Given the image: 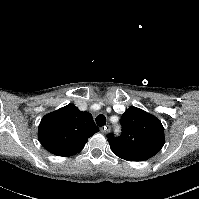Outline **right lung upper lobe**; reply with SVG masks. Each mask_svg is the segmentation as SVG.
<instances>
[{"label":"right lung upper lobe","instance_id":"cb5924a9","mask_svg":"<svg viewBox=\"0 0 199 199\" xmlns=\"http://www.w3.org/2000/svg\"><path fill=\"white\" fill-rule=\"evenodd\" d=\"M98 131L89 112L69 104L42 118L38 139L52 154L67 157L80 152L88 138Z\"/></svg>","mask_w":199,"mask_h":199}]
</instances>
